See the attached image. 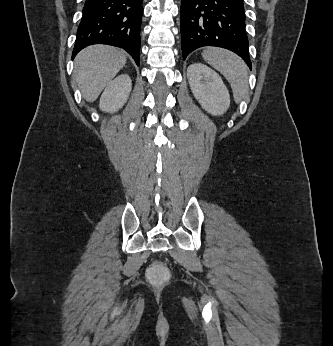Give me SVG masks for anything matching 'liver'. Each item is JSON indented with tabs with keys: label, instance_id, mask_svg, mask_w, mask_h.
Masks as SVG:
<instances>
[{
	"label": "liver",
	"instance_id": "1",
	"mask_svg": "<svg viewBox=\"0 0 333 346\" xmlns=\"http://www.w3.org/2000/svg\"><path fill=\"white\" fill-rule=\"evenodd\" d=\"M126 61L123 50L108 45H92L80 51L74 75L83 98L94 102Z\"/></svg>",
	"mask_w": 333,
	"mask_h": 346
}]
</instances>
